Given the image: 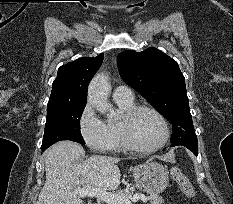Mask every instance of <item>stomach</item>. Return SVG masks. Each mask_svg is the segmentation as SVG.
Masks as SVG:
<instances>
[{
  "label": "stomach",
  "mask_w": 233,
  "mask_h": 204,
  "mask_svg": "<svg viewBox=\"0 0 233 204\" xmlns=\"http://www.w3.org/2000/svg\"><path fill=\"white\" fill-rule=\"evenodd\" d=\"M132 173L137 185L149 193H161L169 183L168 171L157 162L148 161L135 166Z\"/></svg>",
  "instance_id": "1"
}]
</instances>
